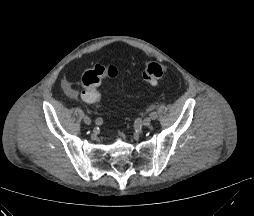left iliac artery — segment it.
<instances>
[{
    "label": "left iliac artery",
    "instance_id": "obj_1",
    "mask_svg": "<svg viewBox=\"0 0 254 216\" xmlns=\"http://www.w3.org/2000/svg\"><path fill=\"white\" fill-rule=\"evenodd\" d=\"M149 117H150L152 120H155V119L158 118V114H157L156 111H151V112L149 113Z\"/></svg>",
    "mask_w": 254,
    "mask_h": 216
}]
</instances>
